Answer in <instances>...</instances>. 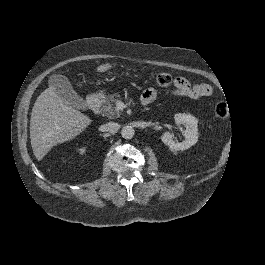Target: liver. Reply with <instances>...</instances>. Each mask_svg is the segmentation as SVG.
I'll list each match as a JSON object with an SVG mask.
<instances>
[{
    "instance_id": "1",
    "label": "liver",
    "mask_w": 265,
    "mask_h": 265,
    "mask_svg": "<svg viewBox=\"0 0 265 265\" xmlns=\"http://www.w3.org/2000/svg\"><path fill=\"white\" fill-rule=\"evenodd\" d=\"M109 63L97 67V72L111 69ZM91 119L72 108L58 96L55 88L45 89L36 99L31 112L30 139L33 154L38 161L59 143L79 135Z\"/></svg>"
}]
</instances>
